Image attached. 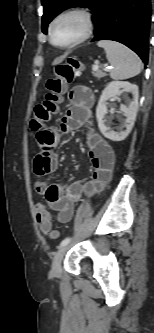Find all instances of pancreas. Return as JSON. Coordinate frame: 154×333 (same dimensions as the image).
<instances>
[{
  "label": "pancreas",
  "mask_w": 154,
  "mask_h": 333,
  "mask_svg": "<svg viewBox=\"0 0 154 333\" xmlns=\"http://www.w3.org/2000/svg\"><path fill=\"white\" fill-rule=\"evenodd\" d=\"M93 76L97 77V78H102L105 77L107 74L99 69H95V67H93V72H92Z\"/></svg>",
  "instance_id": "cf45deb5"
}]
</instances>
